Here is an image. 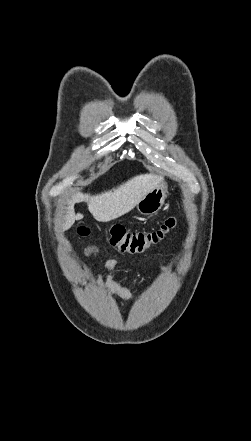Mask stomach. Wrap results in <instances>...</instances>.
Instances as JSON below:
<instances>
[{
	"label": "stomach",
	"mask_w": 251,
	"mask_h": 441,
	"mask_svg": "<svg viewBox=\"0 0 251 441\" xmlns=\"http://www.w3.org/2000/svg\"><path fill=\"white\" fill-rule=\"evenodd\" d=\"M167 184H160L147 193L137 204V209L142 215H153L158 212L166 198Z\"/></svg>",
	"instance_id": "obj_1"
}]
</instances>
